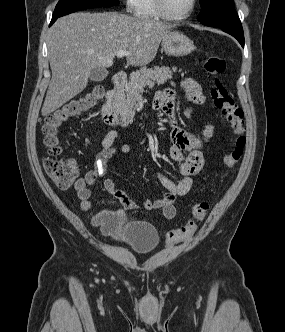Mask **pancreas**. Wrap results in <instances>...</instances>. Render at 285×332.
Instances as JSON below:
<instances>
[{"mask_svg":"<svg viewBox=\"0 0 285 332\" xmlns=\"http://www.w3.org/2000/svg\"><path fill=\"white\" fill-rule=\"evenodd\" d=\"M175 70V68H173ZM172 78V71L169 67H142L140 70L132 73L125 89L119 93L117 101L118 113L122 120L131 122L135 115L137 101L145 87L153 88L155 83L164 84Z\"/></svg>","mask_w":285,"mask_h":332,"instance_id":"cf45deb5","label":"pancreas"}]
</instances>
